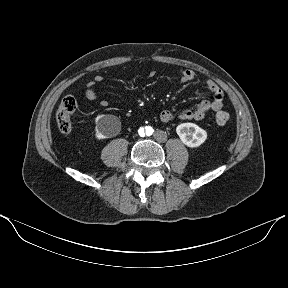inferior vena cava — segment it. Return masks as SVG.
Here are the masks:
<instances>
[{
    "label": "inferior vena cava",
    "instance_id": "1",
    "mask_svg": "<svg viewBox=\"0 0 288 288\" xmlns=\"http://www.w3.org/2000/svg\"><path fill=\"white\" fill-rule=\"evenodd\" d=\"M154 140L158 144H163L167 140V133L163 129H158L154 133Z\"/></svg>",
    "mask_w": 288,
    "mask_h": 288
}]
</instances>
